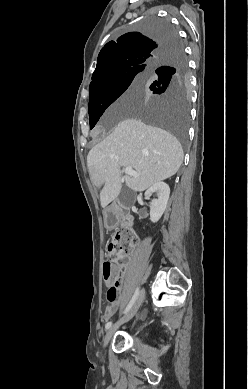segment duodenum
<instances>
[{"mask_svg": "<svg viewBox=\"0 0 248 389\" xmlns=\"http://www.w3.org/2000/svg\"><path fill=\"white\" fill-rule=\"evenodd\" d=\"M109 215L111 216L110 218L108 217ZM104 221L109 229L115 228L119 222H121L123 227L130 229L133 224V216L127 214L124 208L117 204L105 213Z\"/></svg>", "mask_w": 248, "mask_h": 389, "instance_id": "410a0bca", "label": "duodenum"}]
</instances>
